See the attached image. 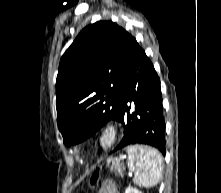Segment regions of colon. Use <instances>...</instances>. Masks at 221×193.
I'll use <instances>...</instances> for the list:
<instances>
[{
    "label": "colon",
    "mask_w": 221,
    "mask_h": 193,
    "mask_svg": "<svg viewBox=\"0 0 221 193\" xmlns=\"http://www.w3.org/2000/svg\"><path fill=\"white\" fill-rule=\"evenodd\" d=\"M99 176H100V169H96L92 173V175H91V177L89 179V184H90L91 187H94V186L97 185V183L99 181Z\"/></svg>",
    "instance_id": "obj_1"
}]
</instances>
